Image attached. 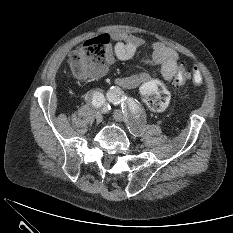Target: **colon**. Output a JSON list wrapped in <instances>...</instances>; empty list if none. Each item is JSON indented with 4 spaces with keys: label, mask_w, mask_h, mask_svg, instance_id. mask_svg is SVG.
Segmentation results:
<instances>
[{
    "label": "colon",
    "mask_w": 233,
    "mask_h": 233,
    "mask_svg": "<svg viewBox=\"0 0 233 233\" xmlns=\"http://www.w3.org/2000/svg\"><path fill=\"white\" fill-rule=\"evenodd\" d=\"M109 37L101 35L84 41L77 47L70 57L71 68L78 77L99 75L105 65V57ZM174 83L182 86L191 80L195 85H201L203 77L198 66H193L190 71L181 67L174 76ZM141 95L146 106L154 111H164L170 102L169 93L158 80H149L141 86Z\"/></svg>",
    "instance_id": "1"
}]
</instances>
